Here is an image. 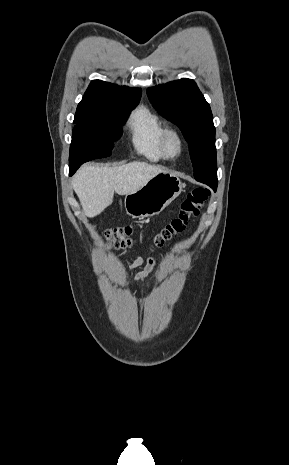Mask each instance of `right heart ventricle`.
<instances>
[{"mask_svg":"<svg viewBox=\"0 0 289 465\" xmlns=\"http://www.w3.org/2000/svg\"><path fill=\"white\" fill-rule=\"evenodd\" d=\"M128 128L137 154L151 162L165 159L161 151V136L165 125L154 111L145 106L138 107L128 119Z\"/></svg>","mask_w":289,"mask_h":465,"instance_id":"1","label":"right heart ventricle"}]
</instances>
